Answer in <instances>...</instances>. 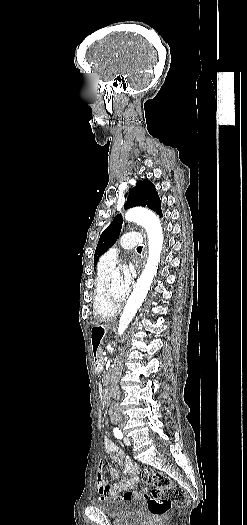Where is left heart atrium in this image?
I'll return each mask as SVG.
<instances>
[{
	"label": "left heart atrium",
	"instance_id": "obj_1",
	"mask_svg": "<svg viewBox=\"0 0 247 525\" xmlns=\"http://www.w3.org/2000/svg\"><path fill=\"white\" fill-rule=\"evenodd\" d=\"M130 259L133 263H138V254H131ZM134 272V270L129 269L122 270L123 278L117 291L119 299H123L130 292L134 281Z\"/></svg>",
	"mask_w": 247,
	"mask_h": 525
}]
</instances>
